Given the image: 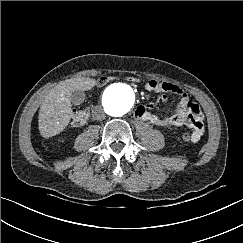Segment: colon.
Listing matches in <instances>:
<instances>
[{
	"label": "colon",
	"instance_id": "1",
	"mask_svg": "<svg viewBox=\"0 0 243 243\" xmlns=\"http://www.w3.org/2000/svg\"><path fill=\"white\" fill-rule=\"evenodd\" d=\"M111 80H112V77L102 76L98 79V84L102 86ZM131 80H134V78H131ZM89 114H90L89 108H81V109L75 110L72 115V123L74 125L84 124L88 120ZM182 138L186 142H192V134L190 132H185L182 135Z\"/></svg>",
	"mask_w": 243,
	"mask_h": 243
}]
</instances>
